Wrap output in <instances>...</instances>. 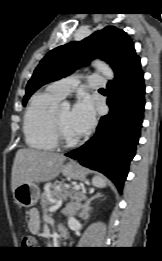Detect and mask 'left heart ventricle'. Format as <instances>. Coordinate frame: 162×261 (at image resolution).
<instances>
[{
    "instance_id": "obj_1",
    "label": "left heart ventricle",
    "mask_w": 162,
    "mask_h": 261,
    "mask_svg": "<svg viewBox=\"0 0 162 261\" xmlns=\"http://www.w3.org/2000/svg\"><path fill=\"white\" fill-rule=\"evenodd\" d=\"M56 117L58 123L64 132L65 136L70 139H75L78 134L72 129L70 125V110L69 109H59L56 111Z\"/></svg>"
}]
</instances>
